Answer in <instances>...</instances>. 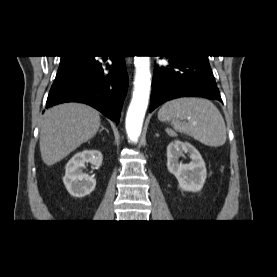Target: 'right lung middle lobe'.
<instances>
[{"instance_id": "1", "label": "right lung middle lobe", "mask_w": 277, "mask_h": 277, "mask_svg": "<svg viewBox=\"0 0 277 277\" xmlns=\"http://www.w3.org/2000/svg\"><path fill=\"white\" fill-rule=\"evenodd\" d=\"M88 57L89 56L86 55L62 56L56 78L79 66L80 64L85 62Z\"/></svg>"}]
</instances>
